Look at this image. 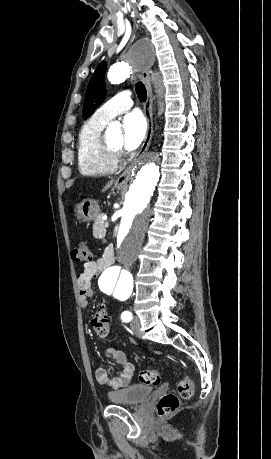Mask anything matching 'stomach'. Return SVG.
Wrapping results in <instances>:
<instances>
[{"instance_id": "0dacf381", "label": "stomach", "mask_w": 271, "mask_h": 459, "mask_svg": "<svg viewBox=\"0 0 271 459\" xmlns=\"http://www.w3.org/2000/svg\"><path fill=\"white\" fill-rule=\"evenodd\" d=\"M116 190H124L122 186H114ZM100 214V208L96 200H82L74 206V216L80 222H92Z\"/></svg>"}]
</instances>
